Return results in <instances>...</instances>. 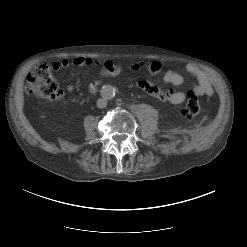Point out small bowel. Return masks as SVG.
I'll return each instance as SVG.
<instances>
[{
    "label": "small bowel",
    "instance_id": "small-bowel-1",
    "mask_svg": "<svg viewBox=\"0 0 247 247\" xmlns=\"http://www.w3.org/2000/svg\"><path fill=\"white\" fill-rule=\"evenodd\" d=\"M72 64L76 67H90L92 65V60L90 58L85 57H76L72 60V62L68 61L67 59H63L60 62H56L52 65V69L54 71H58L62 68H68ZM143 64L135 63L133 64L134 69H139L142 67ZM146 68L149 70L150 73L156 74L162 70V64L157 61L150 62L145 65ZM187 72L196 78L197 84L195 90L201 95L206 96L207 98H211L213 95V88L210 83L208 75L202 71L198 66L195 64H188L186 66ZM163 80L166 83L172 84L174 86H179L184 83V76L175 71V70H167L163 74ZM138 85L141 89H143L148 94L154 96L155 98L169 102L172 104H181L185 100V94L181 91H177L173 88L168 90H161L157 86L147 82V81H139ZM98 82H92L89 86L91 92H95L97 90ZM74 87L72 85L67 86V91L72 92Z\"/></svg>",
    "mask_w": 247,
    "mask_h": 247
}]
</instances>
